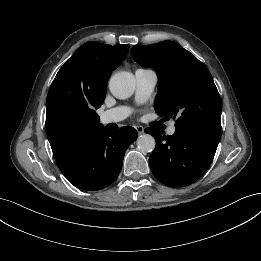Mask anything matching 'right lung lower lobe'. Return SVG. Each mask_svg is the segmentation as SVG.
Here are the masks:
<instances>
[{
    "label": "right lung lower lobe",
    "mask_w": 261,
    "mask_h": 261,
    "mask_svg": "<svg viewBox=\"0 0 261 261\" xmlns=\"http://www.w3.org/2000/svg\"><path fill=\"white\" fill-rule=\"evenodd\" d=\"M137 135V131L129 126L116 132L102 129L85 150L61 171L77 188L90 191L103 189L119 175L124 154Z\"/></svg>",
    "instance_id": "98d812e1"
}]
</instances>
